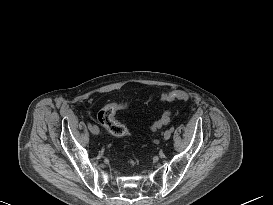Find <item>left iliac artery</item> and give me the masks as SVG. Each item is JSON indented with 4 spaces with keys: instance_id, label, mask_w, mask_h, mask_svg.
I'll return each instance as SVG.
<instances>
[{
    "instance_id": "obj_1",
    "label": "left iliac artery",
    "mask_w": 273,
    "mask_h": 205,
    "mask_svg": "<svg viewBox=\"0 0 273 205\" xmlns=\"http://www.w3.org/2000/svg\"><path fill=\"white\" fill-rule=\"evenodd\" d=\"M170 131L173 132V131H174V127H171V128H170Z\"/></svg>"
}]
</instances>
